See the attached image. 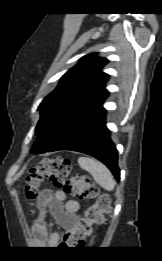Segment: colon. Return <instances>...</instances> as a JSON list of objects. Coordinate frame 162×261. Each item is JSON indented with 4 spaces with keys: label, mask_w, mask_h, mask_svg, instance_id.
Instances as JSON below:
<instances>
[{
    "label": "colon",
    "mask_w": 162,
    "mask_h": 261,
    "mask_svg": "<svg viewBox=\"0 0 162 261\" xmlns=\"http://www.w3.org/2000/svg\"><path fill=\"white\" fill-rule=\"evenodd\" d=\"M46 179L77 199L97 198V202L78 218L73 232L64 242L77 248L84 247L86 239L91 235L92 226L103 223L105 215L111 212L110 196L100 195L97 185L86 175L73 173L68 158L56 156L42 159L29 170L25 186V194L29 200L37 198L40 186Z\"/></svg>",
    "instance_id": "1"
}]
</instances>
